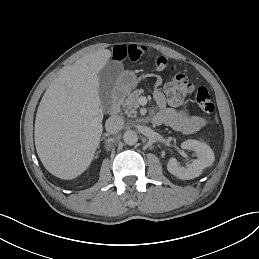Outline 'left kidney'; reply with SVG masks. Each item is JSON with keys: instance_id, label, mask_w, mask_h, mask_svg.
<instances>
[{"instance_id": "left-kidney-1", "label": "left kidney", "mask_w": 259, "mask_h": 259, "mask_svg": "<svg viewBox=\"0 0 259 259\" xmlns=\"http://www.w3.org/2000/svg\"><path fill=\"white\" fill-rule=\"evenodd\" d=\"M182 150L194 152L197 159L192 160L189 168L181 167L175 156H171L167 162V170L174 176L183 180L198 177L204 169L214 162L213 151L204 143L196 140H187L181 144Z\"/></svg>"}]
</instances>
